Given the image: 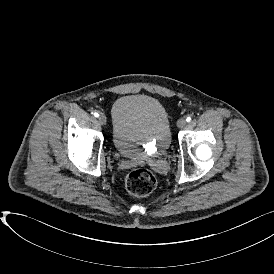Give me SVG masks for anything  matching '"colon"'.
<instances>
[{"label": "colon", "instance_id": "1", "mask_svg": "<svg viewBox=\"0 0 274 274\" xmlns=\"http://www.w3.org/2000/svg\"><path fill=\"white\" fill-rule=\"evenodd\" d=\"M125 185L132 195L145 197L156 189L157 178L149 170L137 169L128 174Z\"/></svg>", "mask_w": 274, "mask_h": 274}]
</instances>
